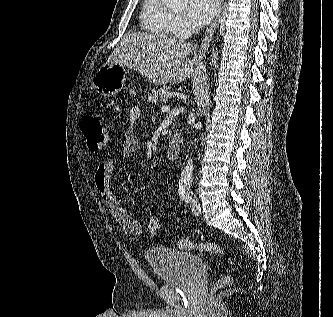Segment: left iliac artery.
Returning <instances> with one entry per match:
<instances>
[{
	"instance_id": "1",
	"label": "left iliac artery",
	"mask_w": 333,
	"mask_h": 317,
	"mask_svg": "<svg viewBox=\"0 0 333 317\" xmlns=\"http://www.w3.org/2000/svg\"><path fill=\"white\" fill-rule=\"evenodd\" d=\"M191 186L190 185H185V186H180L179 189V196L181 199H183L185 202L191 201V196L189 195V190Z\"/></svg>"
}]
</instances>
